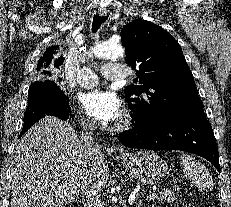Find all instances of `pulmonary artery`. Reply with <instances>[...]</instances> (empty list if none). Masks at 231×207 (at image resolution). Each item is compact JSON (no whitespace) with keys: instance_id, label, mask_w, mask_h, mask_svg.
Wrapping results in <instances>:
<instances>
[{"instance_id":"obj_1","label":"pulmonary artery","mask_w":231,"mask_h":207,"mask_svg":"<svg viewBox=\"0 0 231 207\" xmlns=\"http://www.w3.org/2000/svg\"><path fill=\"white\" fill-rule=\"evenodd\" d=\"M102 74L108 80H122L128 78L126 68L119 64L105 65ZM77 82L81 86H94L98 82L97 74L89 68H82L77 75Z\"/></svg>"}]
</instances>
